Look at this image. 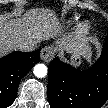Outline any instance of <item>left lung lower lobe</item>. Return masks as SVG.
<instances>
[{"instance_id": "1", "label": "left lung lower lobe", "mask_w": 108, "mask_h": 108, "mask_svg": "<svg viewBox=\"0 0 108 108\" xmlns=\"http://www.w3.org/2000/svg\"><path fill=\"white\" fill-rule=\"evenodd\" d=\"M47 96L51 108H100L108 99V38L100 59L86 71L53 59Z\"/></svg>"}]
</instances>
